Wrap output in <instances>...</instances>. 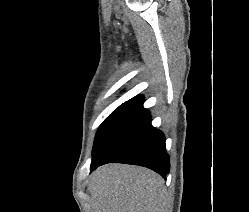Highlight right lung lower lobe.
Here are the masks:
<instances>
[{
  "label": "right lung lower lobe",
  "mask_w": 249,
  "mask_h": 212,
  "mask_svg": "<svg viewBox=\"0 0 249 212\" xmlns=\"http://www.w3.org/2000/svg\"><path fill=\"white\" fill-rule=\"evenodd\" d=\"M138 97L110 126L96 150L90 170L98 166L119 162L140 165L154 170L163 178L169 173L164 134L151 125L150 113Z\"/></svg>",
  "instance_id": "obj_1"
}]
</instances>
